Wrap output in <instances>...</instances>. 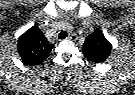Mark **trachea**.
Returning a JSON list of instances; mask_svg holds the SVG:
<instances>
[{"instance_id":"1","label":"trachea","mask_w":135,"mask_h":95,"mask_svg":"<svg viewBox=\"0 0 135 95\" xmlns=\"http://www.w3.org/2000/svg\"><path fill=\"white\" fill-rule=\"evenodd\" d=\"M68 36V33L66 31H61L59 33V39H65Z\"/></svg>"}]
</instances>
